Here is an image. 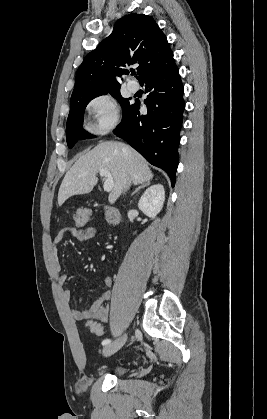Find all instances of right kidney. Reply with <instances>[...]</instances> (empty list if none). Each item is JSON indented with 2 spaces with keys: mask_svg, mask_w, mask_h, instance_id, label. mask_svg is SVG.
Here are the masks:
<instances>
[{
  "mask_svg": "<svg viewBox=\"0 0 267 419\" xmlns=\"http://www.w3.org/2000/svg\"><path fill=\"white\" fill-rule=\"evenodd\" d=\"M165 201V191L162 184L149 187L141 196L138 207L148 217L155 218L161 211Z\"/></svg>",
  "mask_w": 267,
  "mask_h": 419,
  "instance_id": "ca27d5eb",
  "label": "right kidney"
}]
</instances>
